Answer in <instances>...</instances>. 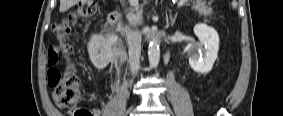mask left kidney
<instances>
[{
    "label": "left kidney",
    "mask_w": 283,
    "mask_h": 116,
    "mask_svg": "<svg viewBox=\"0 0 283 116\" xmlns=\"http://www.w3.org/2000/svg\"><path fill=\"white\" fill-rule=\"evenodd\" d=\"M194 33L198 37L199 45L187 47L189 64L197 73H208L212 70L219 50V36L217 31L204 23L194 26ZM204 46V48H202Z\"/></svg>",
    "instance_id": "1"
}]
</instances>
